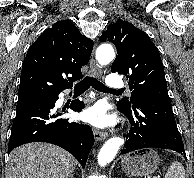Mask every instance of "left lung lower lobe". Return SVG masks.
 I'll return each instance as SVG.
<instances>
[{
	"label": "left lung lower lobe",
	"mask_w": 194,
	"mask_h": 178,
	"mask_svg": "<svg viewBox=\"0 0 194 178\" xmlns=\"http://www.w3.org/2000/svg\"><path fill=\"white\" fill-rule=\"evenodd\" d=\"M117 107L132 126L122 154L143 148H164L181 153L187 160L170 98L136 95L130 108Z\"/></svg>",
	"instance_id": "left-lung-lower-lobe-1"
}]
</instances>
